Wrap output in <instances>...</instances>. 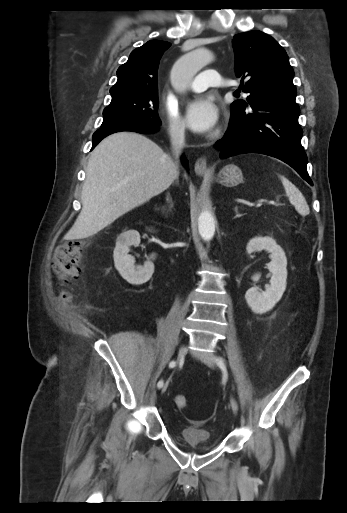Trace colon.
Listing matches in <instances>:
<instances>
[{"mask_svg":"<svg viewBox=\"0 0 347 513\" xmlns=\"http://www.w3.org/2000/svg\"><path fill=\"white\" fill-rule=\"evenodd\" d=\"M82 256L81 244L77 241L64 243L58 248L53 259V268L63 282L77 278L81 273ZM63 297L68 298V294ZM173 401L180 410H185L188 406L187 398L181 393L175 394Z\"/></svg>","mask_w":347,"mask_h":513,"instance_id":"colon-1","label":"colon"}]
</instances>
